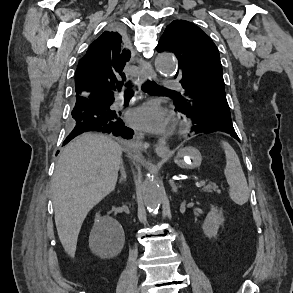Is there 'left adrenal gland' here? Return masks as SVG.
Returning <instances> with one entry per match:
<instances>
[{
  "label": "left adrenal gland",
  "instance_id": "left-adrenal-gland-1",
  "mask_svg": "<svg viewBox=\"0 0 293 293\" xmlns=\"http://www.w3.org/2000/svg\"><path fill=\"white\" fill-rule=\"evenodd\" d=\"M169 183H170V186L172 188V192L177 193L178 188H180L181 186H177L173 180H170Z\"/></svg>",
  "mask_w": 293,
  "mask_h": 293
}]
</instances>
